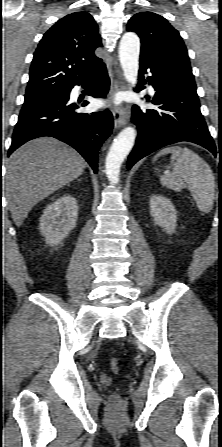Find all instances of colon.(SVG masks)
<instances>
[{
    "label": "colon",
    "instance_id": "1",
    "mask_svg": "<svg viewBox=\"0 0 222 447\" xmlns=\"http://www.w3.org/2000/svg\"><path fill=\"white\" fill-rule=\"evenodd\" d=\"M110 365H111V368H112V370H113L114 372H118V369H119V362H118V359H116V358H112L111 361H110ZM111 400H112L113 402H117V401H118V396H117V395H112V396H111Z\"/></svg>",
    "mask_w": 222,
    "mask_h": 447
}]
</instances>
